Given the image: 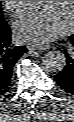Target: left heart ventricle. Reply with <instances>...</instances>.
Wrapping results in <instances>:
<instances>
[{
	"instance_id": "left-heart-ventricle-1",
	"label": "left heart ventricle",
	"mask_w": 74,
	"mask_h": 122,
	"mask_svg": "<svg viewBox=\"0 0 74 122\" xmlns=\"http://www.w3.org/2000/svg\"><path fill=\"white\" fill-rule=\"evenodd\" d=\"M44 5H53L55 6L62 17L70 22L71 20V13H72V3L71 1H42Z\"/></svg>"
}]
</instances>
